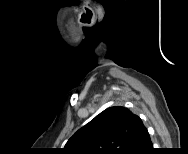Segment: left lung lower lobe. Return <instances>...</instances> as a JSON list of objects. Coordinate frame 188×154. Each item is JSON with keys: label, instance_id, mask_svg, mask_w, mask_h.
<instances>
[{"label": "left lung lower lobe", "instance_id": "1", "mask_svg": "<svg viewBox=\"0 0 188 154\" xmlns=\"http://www.w3.org/2000/svg\"><path fill=\"white\" fill-rule=\"evenodd\" d=\"M152 149V142L146 127L136 115L134 118V129L127 154H148Z\"/></svg>", "mask_w": 188, "mask_h": 154}]
</instances>
